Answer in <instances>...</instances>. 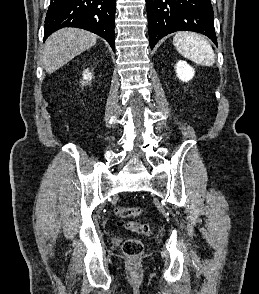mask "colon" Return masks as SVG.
<instances>
[{"instance_id": "1", "label": "colon", "mask_w": 259, "mask_h": 294, "mask_svg": "<svg viewBox=\"0 0 259 294\" xmlns=\"http://www.w3.org/2000/svg\"><path fill=\"white\" fill-rule=\"evenodd\" d=\"M114 214L120 218L137 217L141 214L142 210L139 207H115ZM122 226L132 232L141 234H150L152 227L149 223L141 221H126ZM123 253L128 257H139L144 252V244L139 239H128L122 245Z\"/></svg>"}]
</instances>
